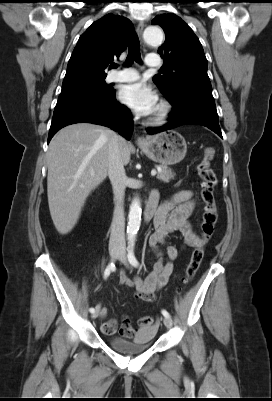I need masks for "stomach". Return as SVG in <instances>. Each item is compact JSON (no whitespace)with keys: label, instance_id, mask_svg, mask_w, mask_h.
<instances>
[{"label":"stomach","instance_id":"0dacf381","mask_svg":"<svg viewBox=\"0 0 272 401\" xmlns=\"http://www.w3.org/2000/svg\"><path fill=\"white\" fill-rule=\"evenodd\" d=\"M139 146L147 157L165 166L179 163L187 152L184 137L175 130L149 137Z\"/></svg>","mask_w":272,"mask_h":401}]
</instances>
